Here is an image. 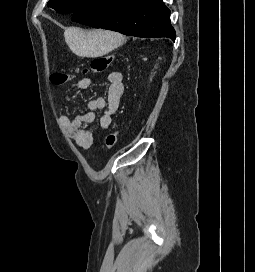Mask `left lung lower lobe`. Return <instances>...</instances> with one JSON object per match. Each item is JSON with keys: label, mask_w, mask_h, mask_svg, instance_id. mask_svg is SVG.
Segmentation results:
<instances>
[{"label": "left lung lower lobe", "mask_w": 255, "mask_h": 272, "mask_svg": "<svg viewBox=\"0 0 255 272\" xmlns=\"http://www.w3.org/2000/svg\"><path fill=\"white\" fill-rule=\"evenodd\" d=\"M72 21L128 36L176 37L162 0H91L73 13Z\"/></svg>", "instance_id": "obj_1"}]
</instances>
